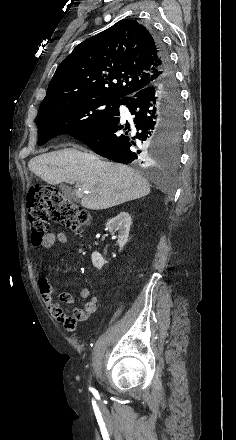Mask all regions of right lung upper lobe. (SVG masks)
<instances>
[{
    "label": "right lung upper lobe",
    "instance_id": "1",
    "mask_svg": "<svg viewBox=\"0 0 236 440\" xmlns=\"http://www.w3.org/2000/svg\"><path fill=\"white\" fill-rule=\"evenodd\" d=\"M150 31L124 19L80 43L58 66L44 101L94 96L120 102L162 75Z\"/></svg>",
    "mask_w": 236,
    "mask_h": 440
}]
</instances>
